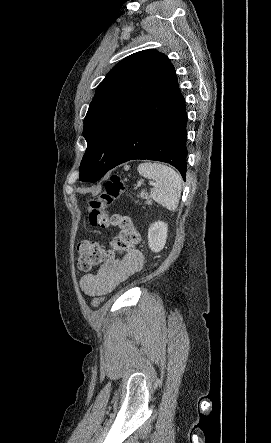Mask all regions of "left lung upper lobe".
Here are the masks:
<instances>
[{"instance_id": "1", "label": "left lung upper lobe", "mask_w": 271, "mask_h": 443, "mask_svg": "<svg viewBox=\"0 0 271 443\" xmlns=\"http://www.w3.org/2000/svg\"><path fill=\"white\" fill-rule=\"evenodd\" d=\"M169 63L163 53L143 50L117 63L98 85L84 120L79 180L96 182L109 171L133 115Z\"/></svg>"}]
</instances>
